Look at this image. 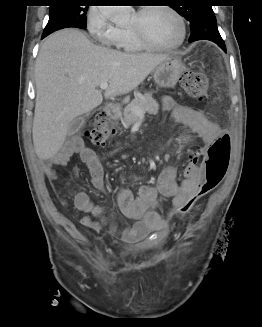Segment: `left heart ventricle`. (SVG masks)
Here are the masks:
<instances>
[{"label":"left heart ventricle","mask_w":262,"mask_h":327,"mask_svg":"<svg viewBox=\"0 0 262 327\" xmlns=\"http://www.w3.org/2000/svg\"><path fill=\"white\" fill-rule=\"evenodd\" d=\"M129 27H139L153 42L162 45L175 43L180 37V25L167 10L157 8L138 16L132 14Z\"/></svg>","instance_id":"obj_1"}]
</instances>
